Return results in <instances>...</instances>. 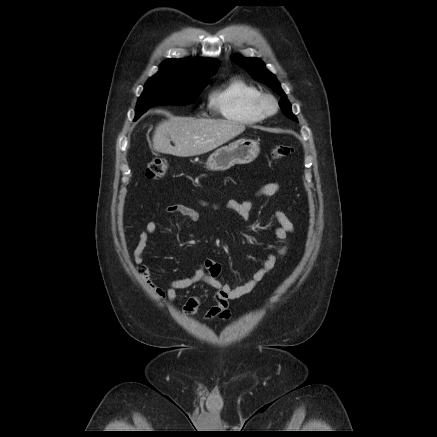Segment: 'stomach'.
Returning a JSON list of instances; mask_svg holds the SVG:
<instances>
[{
	"instance_id": "obj_1",
	"label": "stomach",
	"mask_w": 437,
	"mask_h": 437,
	"mask_svg": "<svg viewBox=\"0 0 437 437\" xmlns=\"http://www.w3.org/2000/svg\"><path fill=\"white\" fill-rule=\"evenodd\" d=\"M260 152L259 143L251 139H240L214 151L205 165L211 171H225L235 164H246L255 160Z\"/></svg>"
}]
</instances>
